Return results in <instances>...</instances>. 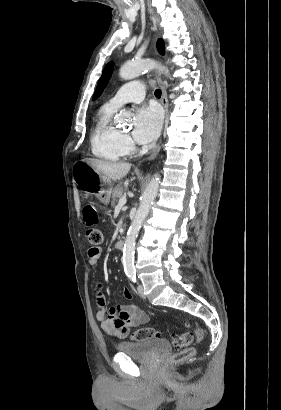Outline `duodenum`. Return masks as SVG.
Listing matches in <instances>:
<instances>
[{"label":"duodenum","mask_w":281,"mask_h":410,"mask_svg":"<svg viewBox=\"0 0 281 410\" xmlns=\"http://www.w3.org/2000/svg\"><path fill=\"white\" fill-rule=\"evenodd\" d=\"M116 248L117 249H119V250H121V249H123V247H124V241L123 240H118L117 242H116Z\"/></svg>","instance_id":"obj_1"}]
</instances>
